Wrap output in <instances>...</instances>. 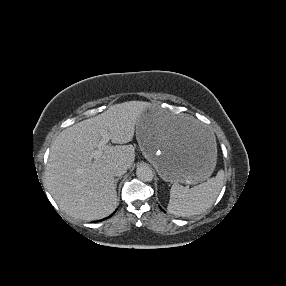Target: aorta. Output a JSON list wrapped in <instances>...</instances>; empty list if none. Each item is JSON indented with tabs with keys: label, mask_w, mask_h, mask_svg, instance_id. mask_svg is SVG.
<instances>
[{
	"label": "aorta",
	"mask_w": 286,
	"mask_h": 286,
	"mask_svg": "<svg viewBox=\"0 0 286 286\" xmlns=\"http://www.w3.org/2000/svg\"><path fill=\"white\" fill-rule=\"evenodd\" d=\"M136 175L138 179L144 182H150L154 177L152 169L146 164H141L137 167Z\"/></svg>",
	"instance_id": "aorta-1"
}]
</instances>
